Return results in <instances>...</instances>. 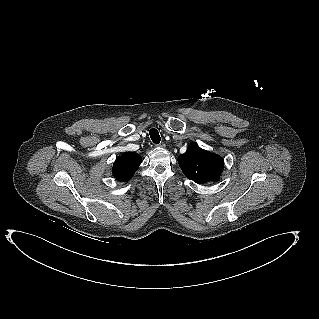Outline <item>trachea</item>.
Returning a JSON list of instances; mask_svg holds the SVG:
<instances>
[{
  "label": "trachea",
  "mask_w": 319,
  "mask_h": 319,
  "mask_svg": "<svg viewBox=\"0 0 319 319\" xmlns=\"http://www.w3.org/2000/svg\"><path fill=\"white\" fill-rule=\"evenodd\" d=\"M149 134L153 143L155 144L160 143L161 138H160L159 132L155 128L150 129Z\"/></svg>",
  "instance_id": "obj_1"
}]
</instances>
